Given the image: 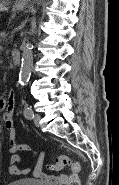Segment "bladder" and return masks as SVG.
Masks as SVG:
<instances>
[{
	"label": "bladder",
	"mask_w": 119,
	"mask_h": 185,
	"mask_svg": "<svg viewBox=\"0 0 119 185\" xmlns=\"http://www.w3.org/2000/svg\"><path fill=\"white\" fill-rule=\"evenodd\" d=\"M7 185H45L41 181L33 178H24V179H18L11 181Z\"/></svg>",
	"instance_id": "1"
}]
</instances>
